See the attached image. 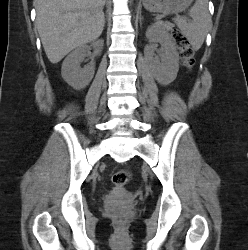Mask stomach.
Masks as SVG:
<instances>
[{
  "instance_id": "0dacf381",
  "label": "stomach",
  "mask_w": 248,
  "mask_h": 250,
  "mask_svg": "<svg viewBox=\"0 0 248 250\" xmlns=\"http://www.w3.org/2000/svg\"><path fill=\"white\" fill-rule=\"evenodd\" d=\"M144 7L157 13H179L186 10L193 0H142Z\"/></svg>"
}]
</instances>
